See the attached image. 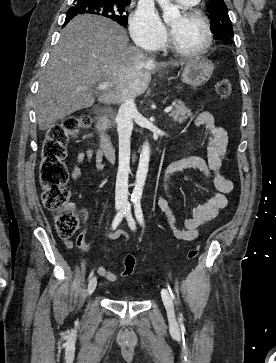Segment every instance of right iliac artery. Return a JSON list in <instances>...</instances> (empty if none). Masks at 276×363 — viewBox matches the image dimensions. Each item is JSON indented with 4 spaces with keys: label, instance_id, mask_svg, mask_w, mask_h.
Returning a JSON list of instances; mask_svg holds the SVG:
<instances>
[{
    "label": "right iliac artery",
    "instance_id": "right-iliac-artery-1",
    "mask_svg": "<svg viewBox=\"0 0 276 363\" xmlns=\"http://www.w3.org/2000/svg\"><path fill=\"white\" fill-rule=\"evenodd\" d=\"M134 202L133 200H131V202H128L126 204V206L124 207L123 210H121L114 218L113 223H112V229H116L117 226L120 224V222L122 221L124 215L126 214V212H128V210L131 207V203ZM94 271H91L90 275H89V280L93 277Z\"/></svg>",
    "mask_w": 276,
    "mask_h": 363
}]
</instances>
